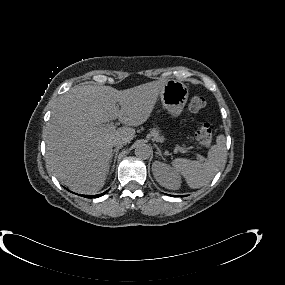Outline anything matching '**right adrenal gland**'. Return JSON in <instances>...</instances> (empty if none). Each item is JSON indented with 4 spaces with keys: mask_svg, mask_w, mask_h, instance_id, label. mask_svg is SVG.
I'll return each instance as SVG.
<instances>
[{
    "mask_svg": "<svg viewBox=\"0 0 285 285\" xmlns=\"http://www.w3.org/2000/svg\"><path fill=\"white\" fill-rule=\"evenodd\" d=\"M121 147H117L113 150L112 152V156H111V160L110 162H112V158L114 156V161H113V164H112V168H111V171H110V174L113 172L114 170V167H115V162H116V158H117V154H118V151L120 150Z\"/></svg>",
    "mask_w": 285,
    "mask_h": 285,
    "instance_id": "2a0ac1e0",
    "label": "right adrenal gland"
}]
</instances>
